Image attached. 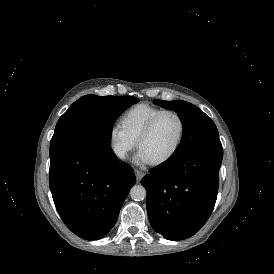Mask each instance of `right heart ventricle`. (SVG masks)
<instances>
[{"label":"right heart ventricle","mask_w":274,"mask_h":274,"mask_svg":"<svg viewBox=\"0 0 274 274\" xmlns=\"http://www.w3.org/2000/svg\"><path fill=\"white\" fill-rule=\"evenodd\" d=\"M160 111L161 109L155 106L138 104L122 114L121 127L135 140L147 123Z\"/></svg>","instance_id":"1"}]
</instances>
